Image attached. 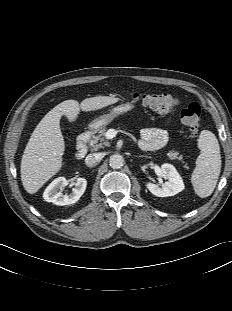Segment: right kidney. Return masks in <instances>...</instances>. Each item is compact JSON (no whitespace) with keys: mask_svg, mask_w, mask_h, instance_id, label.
I'll return each instance as SVG.
<instances>
[{"mask_svg":"<svg viewBox=\"0 0 232 311\" xmlns=\"http://www.w3.org/2000/svg\"><path fill=\"white\" fill-rule=\"evenodd\" d=\"M69 181L75 185L70 194H63L62 189L68 185ZM66 180L64 177L56 178L52 181L43 193L45 201L56 205H70L76 203L86 190L87 181L85 178Z\"/></svg>","mask_w":232,"mask_h":311,"instance_id":"1","label":"right kidney"}]
</instances>
